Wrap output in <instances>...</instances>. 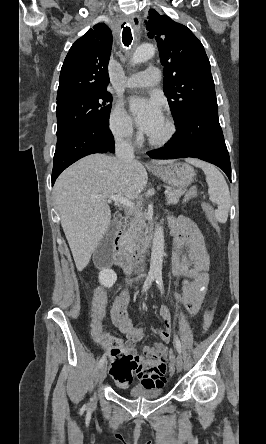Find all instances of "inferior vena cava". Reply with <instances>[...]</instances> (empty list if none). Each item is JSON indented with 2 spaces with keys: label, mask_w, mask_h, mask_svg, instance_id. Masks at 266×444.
Masks as SVG:
<instances>
[{
  "label": "inferior vena cava",
  "mask_w": 266,
  "mask_h": 444,
  "mask_svg": "<svg viewBox=\"0 0 266 444\" xmlns=\"http://www.w3.org/2000/svg\"><path fill=\"white\" fill-rule=\"evenodd\" d=\"M116 157L122 161L134 160V148L128 138L118 137L116 139Z\"/></svg>",
  "instance_id": "1"
}]
</instances>
